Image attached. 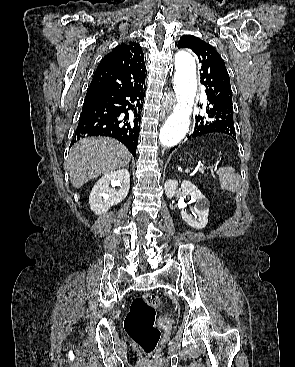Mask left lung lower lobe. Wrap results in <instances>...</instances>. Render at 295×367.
Listing matches in <instances>:
<instances>
[{"instance_id": "0a47b994", "label": "left lung lower lobe", "mask_w": 295, "mask_h": 367, "mask_svg": "<svg viewBox=\"0 0 295 367\" xmlns=\"http://www.w3.org/2000/svg\"><path fill=\"white\" fill-rule=\"evenodd\" d=\"M207 101L206 114L195 116L194 131L188 135V138L217 132L227 134L236 140L232 103L212 97H207ZM174 149L175 147L170 152Z\"/></svg>"}]
</instances>
